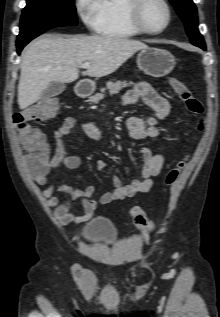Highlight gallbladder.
Masks as SVG:
<instances>
[{"instance_id": "obj_1", "label": "gallbladder", "mask_w": 220, "mask_h": 317, "mask_svg": "<svg viewBox=\"0 0 220 317\" xmlns=\"http://www.w3.org/2000/svg\"><path fill=\"white\" fill-rule=\"evenodd\" d=\"M66 86L59 81H52L48 87L43 91L42 98H51L60 95L64 92Z\"/></svg>"}]
</instances>
